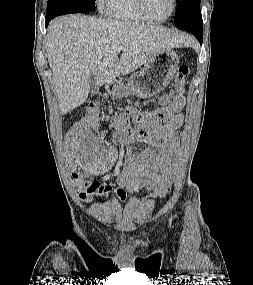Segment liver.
Returning a JSON list of instances; mask_svg holds the SVG:
<instances>
[{
    "label": "liver",
    "mask_w": 253,
    "mask_h": 285,
    "mask_svg": "<svg viewBox=\"0 0 253 285\" xmlns=\"http://www.w3.org/2000/svg\"><path fill=\"white\" fill-rule=\"evenodd\" d=\"M47 37V57L62 115L87 100L91 74L99 86L111 83L161 50L191 42L188 36L160 26L81 15L54 19Z\"/></svg>",
    "instance_id": "6515ba94"
}]
</instances>
